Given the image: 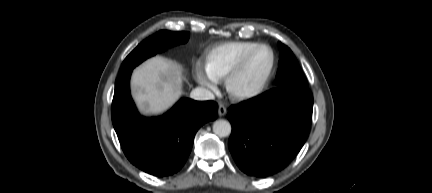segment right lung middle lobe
Segmentation results:
<instances>
[{
	"instance_id": "right-lung-middle-lobe-1",
	"label": "right lung middle lobe",
	"mask_w": 432,
	"mask_h": 193,
	"mask_svg": "<svg viewBox=\"0 0 432 193\" xmlns=\"http://www.w3.org/2000/svg\"><path fill=\"white\" fill-rule=\"evenodd\" d=\"M189 32L159 31L141 42L124 60L120 73L132 70L145 59L162 52L170 46L187 42Z\"/></svg>"
}]
</instances>
